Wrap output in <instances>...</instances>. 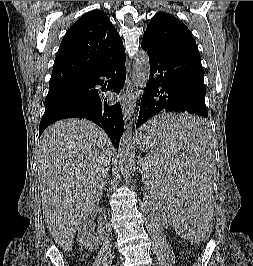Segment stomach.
<instances>
[{"instance_id": "obj_1", "label": "stomach", "mask_w": 253, "mask_h": 266, "mask_svg": "<svg viewBox=\"0 0 253 266\" xmlns=\"http://www.w3.org/2000/svg\"><path fill=\"white\" fill-rule=\"evenodd\" d=\"M142 138H150V137H148L147 132H144V126L137 133V140H138L139 147L141 149H143V147H142Z\"/></svg>"}]
</instances>
